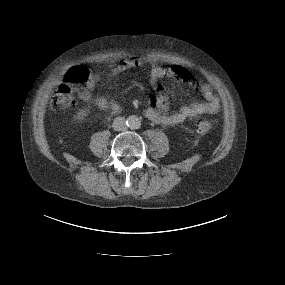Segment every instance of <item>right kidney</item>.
Instances as JSON below:
<instances>
[{
	"mask_svg": "<svg viewBox=\"0 0 285 285\" xmlns=\"http://www.w3.org/2000/svg\"><path fill=\"white\" fill-rule=\"evenodd\" d=\"M87 111L86 110H81L80 112L77 113L76 116H74L75 120H82L84 116H86Z\"/></svg>",
	"mask_w": 285,
	"mask_h": 285,
	"instance_id": "ca27d5eb",
	"label": "right kidney"
}]
</instances>
